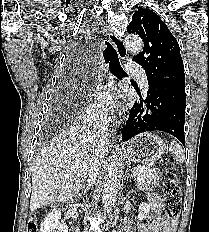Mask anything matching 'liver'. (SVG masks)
<instances>
[{
  "mask_svg": "<svg viewBox=\"0 0 209 232\" xmlns=\"http://www.w3.org/2000/svg\"><path fill=\"white\" fill-rule=\"evenodd\" d=\"M107 140L96 141L81 126H71L41 149L32 166L30 210L76 196L94 159L99 163L107 152Z\"/></svg>",
  "mask_w": 209,
  "mask_h": 232,
  "instance_id": "1",
  "label": "liver"
}]
</instances>
